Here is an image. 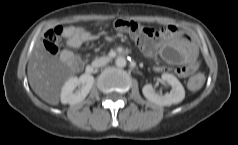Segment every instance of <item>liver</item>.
I'll list each match as a JSON object with an SVG mask.
<instances>
[{
  "mask_svg": "<svg viewBox=\"0 0 238 145\" xmlns=\"http://www.w3.org/2000/svg\"><path fill=\"white\" fill-rule=\"evenodd\" d=\"M72 30L73 28H67L66 33ZM78 71V63L72 53L63 51L58 58L46 50L42 41L35 45L27 67L32 90L51 105L59 104L63 83Z\"/></svg>",
  "mask_w": 238,
  "mask_h": 145,
  "instance_id": "6515ba94",
  "label": "liver"
}]
</instances>
